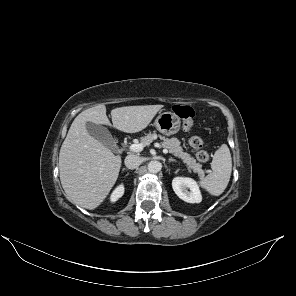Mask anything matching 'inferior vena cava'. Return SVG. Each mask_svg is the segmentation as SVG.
I'll use <instances>...</instances> for the list:
<instances>
[{"label":"inferior vena cava","mask_w":296,"mask_h":296,"mask_svg":"<svg viewBox=\"0 0 296 296\" xmlns=\"http://www.w3.org/2000/svg\"><path fill=\"white\" fill-rule=\"evenodd\" d=\"M124 162L127 168L135 169L141 164V159L139 156L131 154L125 158Z\"/></svg>","instance_id":"inferior-vena-cava-1"}]
</instances>
